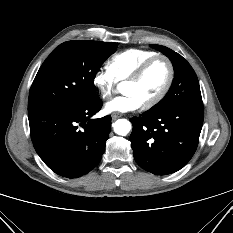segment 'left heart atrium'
I'll use <instances>...</instances> for the list:
<instances>
[{"label": "left heart atrium", "mask_w": 233, "mask_h": 233, "mask_svg": "<svg viewBox=\"0 0 233 233\" xmlns=\"http://www.w3.org/2000/svg\"><path fill=\"white\" fill-rule=\"evenodd\" d=\"M142 104L140 99L133 93H124L108 101L105 110L108 113H125L139 109Z\"/></svg>", "instance_id": "39dd6f15"}]
</instances>
